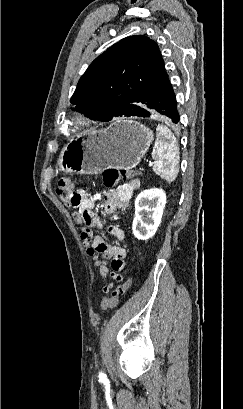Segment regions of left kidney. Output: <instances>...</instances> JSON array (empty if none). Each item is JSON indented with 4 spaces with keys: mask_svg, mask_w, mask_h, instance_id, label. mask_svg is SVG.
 <instances>
[{
    "mask_svg": "<svg viewBox=\"0 0 243 409\" xmlns=\"http://www.w3.org/2000/svg\"><path fill=\"white\" fill-rule=\"evenodd\" d=\"M165 204L166 194L162 189L145 190L137 196L132 224V231L137 239L147 240L155 235Z\"/></svg>",
    "mask_w": 243,
    "mask_h": 409,
    "instance_id": "obj_1",
    "label": "left kidney"
}]
</instances>
